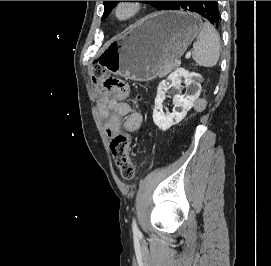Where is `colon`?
Masks as SVG:
<instances>
[{
  "label": "colon",
  "mask_w": 271,
  "mask_h": 266,
  "mask_svg": "<svg viewBox=\"0 0 271 266\" xmlns=\"http://www.w3.org/2000/svg\"><path fill=\"white\" fill-rule=\"evenodd\" d=\"M92 78L103 93H111L123 99L130 95L129 85L124 80L108 74L98 65L93 66ZM110 149L121 176L132 179L135 176V165L130 157V136L125 133L117 134L110 142Z\"/></svg>",
  "instance_id": "5ec220e1"
}]
</instances>
